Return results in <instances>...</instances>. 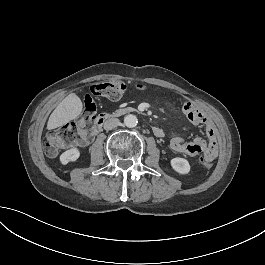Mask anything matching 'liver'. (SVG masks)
Returning <instances> with one entry per match:
<instances>
[{"label": "liver", "instance_id": "1", "mask_svg": "<svg viewBox=\"0 0 265 265\" xmlns=\"http://www.w3.org/2000/svg\"><path fill=\"white\" fill-rule=\"evenodd\" d=\"M82 102L80 98L71 93L65 97L55 108L49 117L47 129H55L75 119L82 111Z\"/></svg>", "mask_w": 265, "mask_h": 265}]
</instances>
